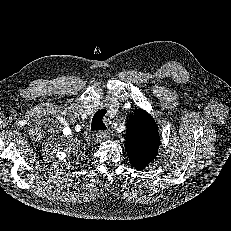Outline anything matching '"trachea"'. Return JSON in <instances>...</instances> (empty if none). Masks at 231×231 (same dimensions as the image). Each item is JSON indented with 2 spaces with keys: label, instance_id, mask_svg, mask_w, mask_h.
I'll return each mask as SVG.
<instances>
[{
  "label": "trachea",
  "instance_id": "1",
  "mask_svg": "<svg viewBox=\"0 0 231 231\" xmlns=\"http://www.w3.org/2000/svg\"><path fill=\"white\" fill-rule=\"evenodd\" d=\"M105 113H106V109H101L95 113V115L92 118V123H91V129L93 131L106 129V125L103 122V116L105 115Z\"/></svg>",
  "mask_w": 231,
  "mask_h": 231
}]
</instances>
